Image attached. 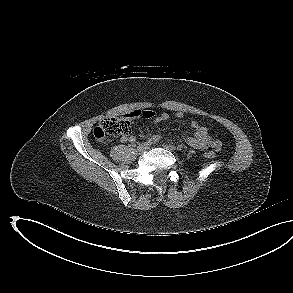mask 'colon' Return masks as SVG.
<instances>
[{
    "instance_id": "obj_1",
    "label": "colon",
    "mask_w": 293,
    "mask_h": 293,
    "mask_svg": "<svg viewBox=\"0 0 293 293\" xmlns=\"http://www.w3.org/2000/svg\"><path fill=\"white\" fill-rule=\"evenodd\" d=\"M131 133V122L125 117H109L100 122L94 128L93 135L99 141H104L108 137L124 136ZM208 158H214V151H207Z\"/></svg>"
}]
</instances>
